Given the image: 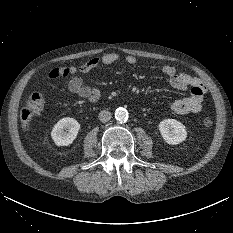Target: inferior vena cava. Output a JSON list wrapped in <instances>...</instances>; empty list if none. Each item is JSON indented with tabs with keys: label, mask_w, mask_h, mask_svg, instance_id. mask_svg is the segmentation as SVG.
Returning a JSON list of instances; mask_svg holds the SVG:
<instances>
[{
	"label": "inferior vena cava",
	"mask_w": 233,
	"mask_h": 233,
	"mask_svg": "<svg viewBox=\"0 0 233 233\" xmlns=\"http://www.w3.org/2000/svg\"><path fill=\"white\" fill-rule=\"evenodd\" d=\"M111 119V113L108 110H102L99 113V120L101 122H108Z\"/></svg>",
	"instance_id": "1"
}]
</instances>
